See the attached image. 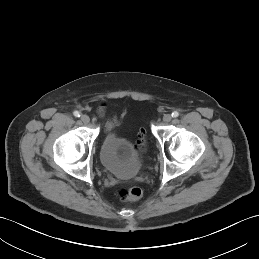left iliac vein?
<instances>
[{"instance_id": "left-iliac-vein-1", "label": "left iliac vein", "mask_w": 259, "mask_h": 259, "mask_svg": "<svg viewBox=\"0 0 259 259\" xmlns=\"http://www.w3.org/2000/svg\"><path fill=\"white\" fill-rule=\"evenodd\" d=\"M172 120V116L170 115V114H165L164 116H163V121L165 122V123H168V122H170Z\"/></svg>"}]
</instances>
